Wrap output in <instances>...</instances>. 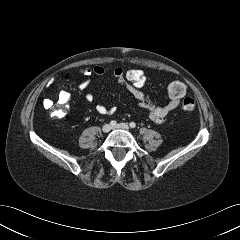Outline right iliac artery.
Instances as JSON below:
<instances>
[{
  "label": "right iliac artery",
  "instance_id": "82829eb1",
  "mask_svg": "<svg viewBox=\"0 0 240 240\" xmlns=\"http://www.w3.org/2000/svg\"><path fill=\"white\" fill-rule=\"evenodd\" d=\"M117 124V122L115 121V120H112L111 122H110V125L111 126H115Z\"/></svg>",
  "mask_w": 240,
  "mask_h": 240
}]
</instances>
